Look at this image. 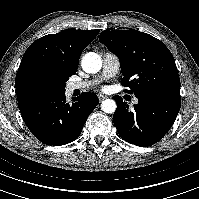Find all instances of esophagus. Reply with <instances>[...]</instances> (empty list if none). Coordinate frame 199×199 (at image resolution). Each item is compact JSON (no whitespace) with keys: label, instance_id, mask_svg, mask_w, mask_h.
<instances>
[{"label":"esophagus","instance_id":"34e87169","mask_svg":"<svg viewBox=\"0 0 199 199\" xmlns=\"http://www.w3.org/2000/svg\"><path fill=\"white\" fill-rule=\"evenodd\" d=\"M97 96H98V99H99L100 101H102V100H104V99H106V98H107V96H106V95L101 94V93H99Z\"/></svg>","mask_w":199,"mask_h":199}]
</instances>
